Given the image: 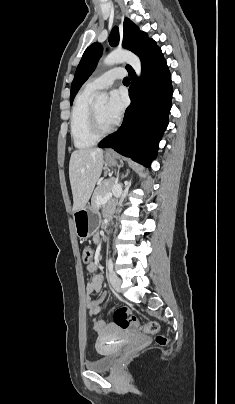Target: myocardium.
Listing matches in <instances>:
<instances>
[{"instance_id":"myocardium-1","label":"myocardium","mask_w":235,"mask_h":404,"mask_svg":"<svg viewBox=\"0 0 235 404\" xmlns=\"http://www.w3.org/2000/svg\"><path fill=\"white\" fill-rule=\"evenodd\" d=\"M89 126H90V131L91 134L96 138V139H101L108 134H110L114 130V126L111 125L107 128H102L97 116V113L94 109V106L90 107V121H89Z\"/></svg>"}]
</instances>
